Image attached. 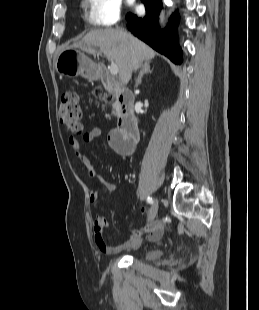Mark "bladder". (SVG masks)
<instances>
[{"mask_svg":"<svg viewBox=\"0 0 259 310\" xmlns=\"http://www.w3.org/2000/svg\"><path fill=\"white\" fill-rule=\"evenodd\" d=\"M163 255H164V251L162 249L149 248L143 252L142 257L144 260L151 261V260L160 259Z\"/></svg>","mask_w":259,"mask_h":310,"instance_id":"bladder-1","label":"bladder"}]
</instances>
